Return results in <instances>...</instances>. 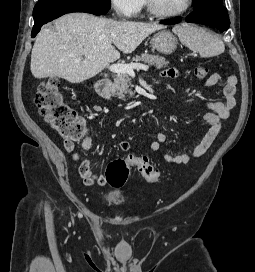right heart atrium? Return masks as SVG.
Masks as SVG:
<instances>
[{"mask_svg":"<svg viewBox=\"0 0 255 272\" xmlns=\"http://www.w3.org/2000/svg\"><path fill=\"white\" fill-rule=\"evenodd\" d=\"M112 7L126 17L136 16L143 6L144 0H110Z\"/></svg>","mask_w":255,"mask_h":272,"instance_id":"right-heart-atrium-1","label":"right heart atrium"}]
</instances>
